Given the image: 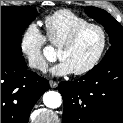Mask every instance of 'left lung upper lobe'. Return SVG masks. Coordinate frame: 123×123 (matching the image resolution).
Returning a JSON list of instances; mask_svg holds the SVG:
<instances>
[{
    "label": "left lung upper lobe",
    "mask_w": 123,
    "mask_h": 123,
    "mask_svg": "<svg viewBox=\"0 0 123 123\" xmlns=\"http://www.w3.org/2000/svg\"><path fill=\"white\" fill-rule=\"evenodd\" d=\"M85 12L101 23L109 35L111 46L103 60L123 55V27L108 12L100 8L87 7Z\"/></svg>",
    "instance_id": "left-lung-upper-lobe-1"
}]
</instances>
